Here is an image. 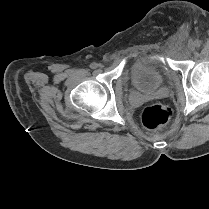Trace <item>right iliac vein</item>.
Instances as JSON below:
<instances>
[{"mask_svg":"<svg viewBox=\"0 0 209 209\" xmlns=\"http://www.w3.org/2000/svg\"><path fill=\"white\" fill-rule=\"evenodd\" d=\"M97 66H98V65H97ZM99 67L101 68V67H102V65L100 64V65H99Z\"/></svg>","mask_w":209,"mask_h":209,"instance_id":"right-iliac-vein-1","label":"right iliac vein"}]
</instances>
